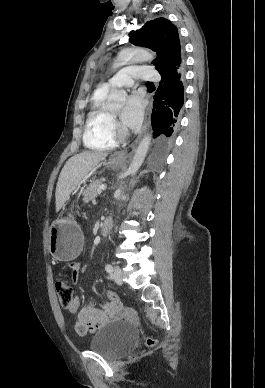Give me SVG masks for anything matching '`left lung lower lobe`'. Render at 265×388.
Wrapping results in <instances>:
<instances>
[{
    "instance_id": "1",
    "label": "left lung lower lobe",
    "mask_w": 265,
    "mask_h": 388,
    "mask_svg": "<svg viewBox=\"0 0 265 388\" xmlns=\"http://www.w3.org/2000/svg\"><path fill=\"white\" fill-rule=\"evenodd\" d=\"M184 90V64L161 75L151 115L155 138L151 163L154 166L162 163L164 154L176 136L183 110Z\"/></svg>"
}]
</instances>
